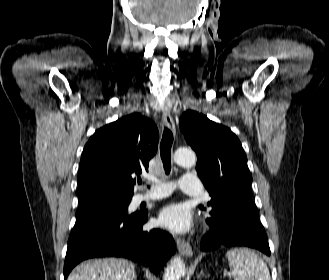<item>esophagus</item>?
Listing matches in <instances>:
<instances>
[{"instance_id": "esophagus-1", "label": "esophagus", "mask_w": 329, "mask_h": 280, "mask_svg": "<svg viewBox=\"0 0 329 280\" xmlns=\"http://www.w3.org/2000/svg\"><path fill=\"white\" fill-rule=\"evenodd\" d=\"M162 119H163V123L173 133H175L176 127H175L174 119L171 116V114L169 112L164 111L162 114ZM176 245H177V248L181 255L186 256V257L192 256V254H193L192 248H191L190 244L188 242H186L184 239L176 238Z\"/></svg>"}]
</instances>
